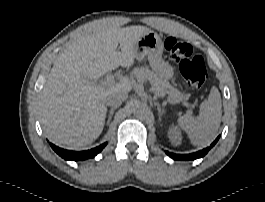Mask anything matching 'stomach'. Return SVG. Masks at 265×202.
Here are the masks:
<instances>
[{
  "mask_svg": "<svg viewBox=\"0 0 265 202\" xmlns=\"http://www.w3.org/2000/svg\"><path fill=\"white\" fill-rule=\"evenodd\" d=\"M164 44L155 32H149L143 35L136 45V59L142 60L145 57L149 60V64L153 71L165 82L170 80L174 75L173 67L162 58ZM168 99L173 104L182 101L183 95L175 87L168 88Z\"/></svg>",
  "mask_w": 265,
  "mask_h": 202,
  "instance_id": "stomach-1",
  "label": "stomach"
}]
</instances>
